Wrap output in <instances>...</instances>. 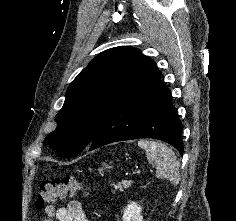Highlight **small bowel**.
<instances>
[{"mask_svg":"<svg viewBox=\"0 0 236 221\" xmlns=\"http://www.w3.org/2000/svg\"><path fill=\"white\" fill-rule=\"evenodd\" d=\"M45 213L47 217L44 221H94L86 214L79 200H71L59 207L47 206Z\"/></svg>","mask_w":236,"mask_h":221,"instance_id":"small-bowel-1","label":"small bowel"}]
</instances>
